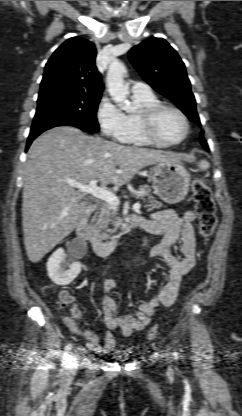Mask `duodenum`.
I'll return each instance as SVG.
<instances>
[{
    "label": "duodenum",
    "mask_w": 242,
    "mask_h": 416,
    "mask_svg": "<svg viewBox=\"0 0 242 416\" xmlns=\"http://www.w3.org/2000/svg\"><path fill=\"white\" fill-rule=\"evenodd\" d=\"M95 209V206L92 204L88 207L85 215L78 221L76 232L78 237L88 242L96 255L104 257L111 254L116 248L120 238L132 230L135 227L142 226L141 219L139 217L130 216L124 221H122L117 232L111 236L109 239L103 240L97 237L89 222L88 214Z\"/></svg>",
    "instance_id": "1"
}]
</instances>
